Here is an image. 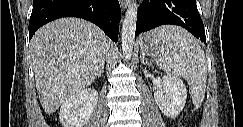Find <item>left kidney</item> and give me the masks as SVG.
<instances>
[{
	"label": "left kidney",
	"mask_w": 243,
	"mask_h": 127,
	"mask_svg": "<svg viewBox=\"0 0 243 127\" xmlns=\"http://www.w3.org/2000/svg\"><path fill=\"white\" fill-rule=\"evenodd\" d=\"M154 99L165 116L176 118L185 106L187 89L181 79L164 76L161 86L154 93Z\"/></svg>",
	"instance_id": "left-kidney-1"
}]
</instances>
